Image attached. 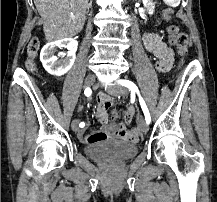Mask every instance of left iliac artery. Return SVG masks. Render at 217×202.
Instances as JSON below:
<instances>
[{"label": "left iliac artery", "mask_w": 217, "mask_h": 202, "mask_svg": "<svg viewBox=\"0 0 217 202\" xmlns=\"http://www.w3.org/2000/svg\"><path fill=\"white\" fill-rule=\"evenodd\" d=\"M119 83L122 86L127 87L131 92H136L138 94L140 105H141V108H142L143 113L145 115V120H146L147 124H149L151 122L150 113H149V110L146 106L145 101L143 100V98L141 97V95L139 93L138 87L132 81H129V80H119Z\"/></svg>", "instance_id": "left-iliac-artery-1"}]
</instances>
